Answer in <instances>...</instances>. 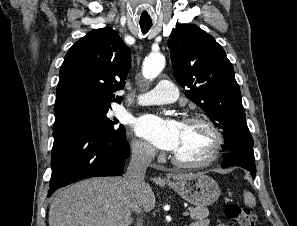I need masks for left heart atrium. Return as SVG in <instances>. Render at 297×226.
I'll return each mask as SVG.
<instances>
[{
	"label": "left heart atrium",
	"mask_w": 297,
	"mask_h": 226,
	"mask_svg": "<svg viewBox=\"0 0 297 226\" xmlns=\"http://www.w3.org/2000/svg\"><path fill=\"white\" fill-rule=\"evenodd\" d=\"M181 124L175 120L144 115L135 120L134 128L139 136L159 149L174 151L179 142Z\"/></svg>",
	"instance_id": "1"
}]
</instances>
